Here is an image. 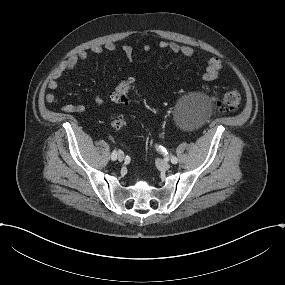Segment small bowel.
<instances>
[{
    "mask_svg": "<svg viewBox=\"0 0 285 285\" xmlns=\"http://www.w3.org/2000/svg\"><path fill=\"white\" fill-rule=\"evenodd\" d=\"M158 47L160 49L169 50L170 52L177 55H181L187 59H192L195 55L193 48L189 46L179 45L174 42L161 41L158 44ZM117 50L118 47L115 43L107 42L102 45L96 44L91 46L89 52L100 55L103 54L104 52L115 53ZM121 50L125 54L128 60H132L133 49L129 44L122 45ZM143 50L145 52H148L150 50V46L145 45L143 47ZM87 57H88V51L83 50L70 55L67 59L62 61L58 65V67L50 74L47 82L48 88L51 91H56L59 87V80L64 75V73H66L67 71L74 70L78 65V63L86 60ZM222 68H223V63L221 59L218 57H211L207 61L206 68L201 76L202 81L209 82L216 79L220 75ZM45 100L51 104H59V100L53 93H47L45 95ZM95 102L99 107H104L106 105V100L100 96L96 97ZM61 109L64 112L68 113H82L85 111V105L82 103H69V104H63L61 106Z\"/></svg>",
    "mask_w": 285,
    "mask_h": 285,
    "instance_id": "small-bowel-1",
    "label": "small bowel"
}]
</instances>
